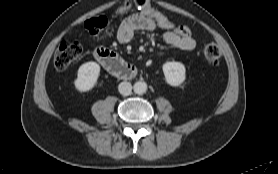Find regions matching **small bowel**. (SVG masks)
Masks as SVG:
<instances>
[{
    "instance_id": "small-bowel-1",
    "label": "small bowel",
    "mask_w": 278,
    "mask_h": 174,
    "mask_svg": "<svg viewBox=\"0 0 278 174\" xmlns=\"http://www.w3.org/2000/svg\"><path fill=\"white\" fill-rule=\"evenodd\" d=\"M156 28H159L158 25L148 14H133L122 21L118 28L117 38L121 43H128L138 31H153ZM162 37L166 44L181 51L189 52L196 47L193 37L182 38L168 30H164Z\"/></svg>"
}]
</instances>
